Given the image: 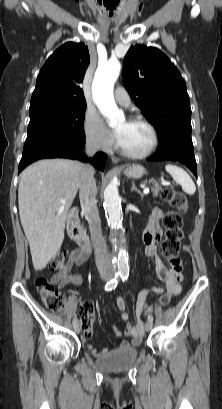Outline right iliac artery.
I'll return each instance as SVG.
<instances>
[{"label":"right iliac artery","instance_id":"right-iliac-artery-1","mask_svg":"<svg viewBox=\"0 0 222 409\" xmlns=\"http://www.w3.org/2000/svg\"><path fill=\"white\" fill-rule=\"evenodd\" d=\"M118 275H119V273L115 274V278L106 283V285H105V287H104V289H105L106 291H111V290H113V289L116 288V286H117V284H118V279H117V278H118ZM77 322H78V321H77L76 318L73 319V325L77 324Z\"/></svg>","mask_w":222,"mask_h":409}]
</instances>
